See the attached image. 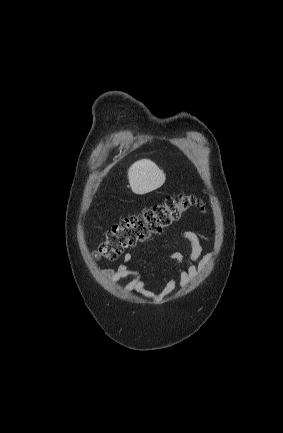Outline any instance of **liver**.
<instances>
[{
  "label": "liver",
  "mask_w": 283,
  "mask_h": 433,
  "mask_svg": "<svg viewBox=\"0 0 283 433\" xmlns=\"http://www.w3.org/2000/svg\"><path fill=\"white\" fill-rule=\"evenodd\" d=\"M129 184L136 194H145L162 186L166 180V174L149 158L136 160L128 168Z\"/></svg>",
  "instance_id": "1"
}]
</instances>
